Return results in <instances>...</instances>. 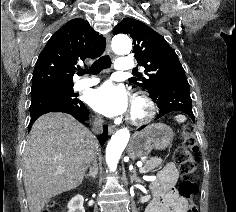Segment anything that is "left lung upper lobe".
I'll return each mask as SVG.
<instances>
[{
  "label": "left lung upper lobe",
  "mask_w": 236,
  "mask_h": 212,
  "mask_svg": "<svg viewBox=\"0 0 236 212\" xmlns=\"http://www.w3.org/2000/svg\"><path fill=\"white\" fill-rule=\"evenodd\" d=\"M119 33L131 36L137 62L145 68L144 76L129 80L147 89L151 96L158 95L163 86L186 77L175 51L159 33L145 23L126 18L113 29L114 35Z\"/></svg>",
  "instance_id": "left-lung-upper-lobe-1"
}]
</instances>
